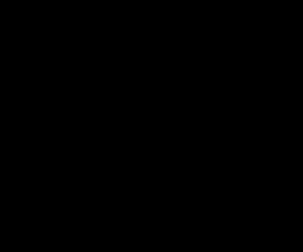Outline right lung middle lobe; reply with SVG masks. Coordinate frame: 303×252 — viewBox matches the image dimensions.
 <instances>
[{
    "label": "right lung middle lobe",
    "mask_w": 303,
    "mask_h": 252,
    "mask_svg": "<svg viewBox=\"0 0 303 252\" xmlns=\"http://www.w3.org/2000/svg\"><path fill=\"white\" fill-rule=\"evenodd\" d=\"M86 125L91 126V127H95V128L99 127V123L97 121H93L92 119H87L86 120Z\"/></svg>",
    "instance_id": "1"
}]
</instances>
